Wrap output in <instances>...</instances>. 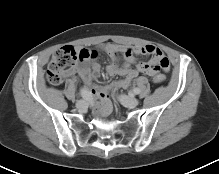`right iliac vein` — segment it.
I'll use <instances>...</instances> for the list:
<instances>
[{"mask_svg":"<svg viewBox=\"0 0 219 174\" xmlns=\"http://www.w3.org/2000/svg\"><path fill=\"white\" fill-rule=\"evenodd\" d=\"M87 105V101L86 100H79L77 103H76V107L78 109H84Z\"/></svg>","mask_w":219,"mask_h":174,"instance_id":"1","label":"right iliac vein"}]
</instances>
